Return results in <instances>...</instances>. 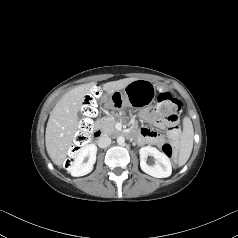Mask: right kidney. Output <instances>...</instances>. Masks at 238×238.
<instances>
[{"mask_svg":"<svg viewBox=\"0 0 238 238\" xmlns=\"http://www.w3.org/2000/svg\"><path fill=\"white\" fill-rule=\"evenodd\" d=\"M96 153L97 147L94 144L82 147L70 167L71 175L79 177L90 173L96 162ZM85 158H88L87 162H84Z\"/></svg>","mask_w":238,"mask_h":238,"instance_id":"right-kidney-1","label":"right kidney"}]
</instances>
